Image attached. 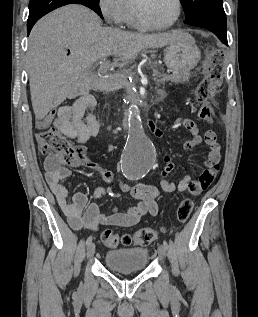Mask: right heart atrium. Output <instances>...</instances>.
I'll return each mask as SVG.
<instances>
[{
	"label": "right heart atrium",
	"mask_w": 258,
	"mask_h": 317,
	"mask_svg": "<svg viewBox=\"0 0 258 317\" xmlns=\"http://www.w3.org/2000/svg\"><path fill=\"white\" fill-rule=\"evenodd\" d=\"M99 9L108 26H123L128 14L126 0H100Z\"/></svg>",
	"instance_id": "d8ad5b80"
}]
</instances>
